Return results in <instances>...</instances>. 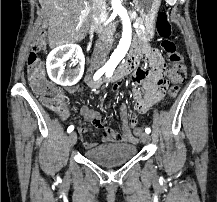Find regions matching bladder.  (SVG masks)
Returning <instances> with one entry per match:
<instances>
[{"label": "bladder", "instance_id": "obj_1", "mask_svg": "<svg viewBox=\"0 0 217 202\" xmlns=\"http://www.w3.org/2000/svg\"><path fill=\"white\" fill-rule=\"evenodd\" d=\"M136 147L131 144L101 145L92 150H85L86 157L101 166L124 164L134 156Z\"/></svg>", "mask_w": 217, "mask_h": 202}]
</instances>
